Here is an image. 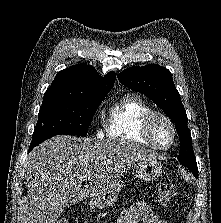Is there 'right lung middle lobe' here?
Returning a JSON list of instances; mask_svg holds the SVG:
<instances>
[{
	"label": "right lung middle lobe",
	"mask_w": 221,
	"mask_h": 223,
	"mask_svg": "<svg viewBox=\"0 0 221 223\" xmlns=\"http://www.w3.org/2000/svg\"><path fill=\"white\" fill-rule=\"evenodd\" d=\"M104 98L42 102L30 148L52 136H86L91 120Z\"/></svg>",
	"instance_id": "right-lung-middle-lobe-1"
}]
</instances>
